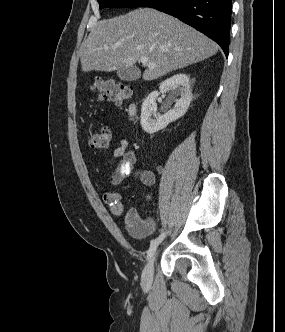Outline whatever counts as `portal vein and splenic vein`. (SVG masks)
Returning <instances> with one entry per match:
<instances>
[{
	"mask_svg": "<svg viewBox=\"0 0 285 332\" xmlns=\"http://www.w3.org/2000/svg\"><path fill=\"white\" fill-rule=\"evenodd\" d=\"M140 61L143 65H147L149 68H154L156 66L154 63H150L147 57H142Z\"/></svg>",
	"mask_w": 285,
	"mask_h": 332,
	"instance_id": "obj_1",
	"label": "portal vein and splenic vein"
}]
</instances>
